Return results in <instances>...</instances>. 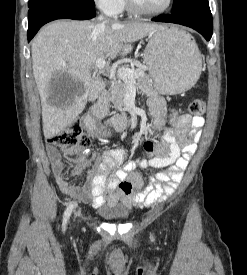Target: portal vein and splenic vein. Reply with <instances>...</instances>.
<instances>
[{"instance_id": "portal-vein-and-splenic-vein-1", "label": "portal vein and splenic vein", "mask_w": 247, "mask_h": 275, "mask_svg": "<svg viewBox=\"0 0 247 275\" xmlns=\"http://www.w3.org/2000/svg\"><path fill=\"white\" fill-rule=\"evenodd\" d=\"M95 68L99 69V71H105L106 69V61L103 58L98 59L95 62ZM118 76L122 79L128 82L129 85L135 84V79L139 76L144 75V71L142 69H129V68H120L117 71Z\"/></svg>"}]
</instances>
